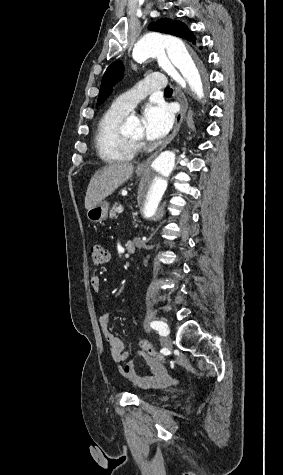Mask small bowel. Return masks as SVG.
I'll return each instance as SVG.
<instances>
[{
    "label": "small bowel",
    "instance_id": "small-bowel-1",
    "mask_svg": "<svg viewBox=\"0 0 283 475\" xmlns=\"http://www.w3.org/2000/svg\"><path fill=\"white\" fill-rule=\"evenodd\" d=\"M91 288L98 292L101 288V279L97 275L90 278ZM101 332L110 345L111 358L116 363L126 364L121 368L122 374L137 385L149 384H163L171 380L167 369L163 366L162 369H150L151 375L140 376L135 371L136 362H131L129 359L130 352L125 349L123 340L111 331L109 313L104 311L99 318Z\"/></svg>",
    "mask_w": 283,
    "mask_h": 475
}]
</instances>
